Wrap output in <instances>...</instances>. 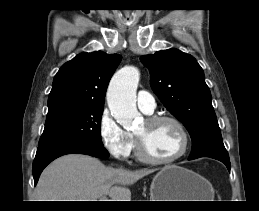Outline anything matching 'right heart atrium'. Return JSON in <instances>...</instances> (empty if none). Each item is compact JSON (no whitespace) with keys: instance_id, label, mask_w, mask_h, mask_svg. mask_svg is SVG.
I'll return each mask as SVG.
<instances>
[{"instance_id":"d8ad5b80","label":"right heart atrium","mask_w":259,"mask_h":211,"mask_svg":"<svg viewBox=\"0 0 259 211\" xmlns=\"http://www.w3.org/2000/svg\"><path fill=\"white\" fill-rule=\"evenodd\" d=\"M98 132L104 148L115 159L125 160L130 156L133 138L117 123L108 109L100 114Z\"/></svg>"}]
</instances>
